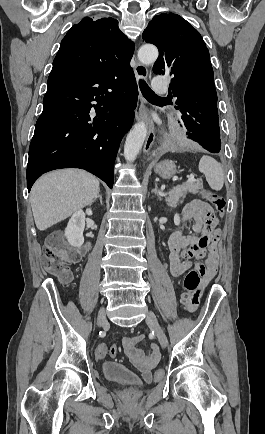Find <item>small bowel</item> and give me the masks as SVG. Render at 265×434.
I'll return each instance as SVG.
<instances>
[{
  "mask_svg": "<svg viewBox=\"0 0 265 434\" xmlns=\"http://www.w3.org/2000/svg\"><path fill=\"white\" fill-rule=\"evenodd\" d=\"M192 222L193 234L184 235L182 225ZM182 225L169 237V269L173 277H181L194 266L193 259H205L206 266L199 269V276L205 284L212 279L217 270V241L219 239L218 218L210 205L200 199L191 201L185 208L181 219ZM206 274V275H205ZM201 291L195 290L190 307L195 311L201 302ZM145 338L144 334L123 338V348L130 359L140 368L145 382H151L150 369L160 358L157 344L149 349L138 347Z\"/></svg>",
  "mask_w": 265,
  "mask_h": 434,
  "instance_id": "obj_1",
  "label": "small bowel"
}]
</instances>
